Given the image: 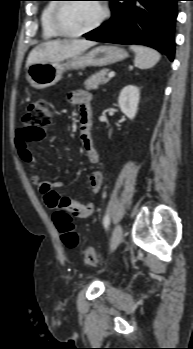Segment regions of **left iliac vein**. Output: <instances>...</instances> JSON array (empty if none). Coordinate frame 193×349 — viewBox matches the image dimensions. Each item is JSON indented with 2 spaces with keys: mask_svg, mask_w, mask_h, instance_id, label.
I'll use <instances>...</instances> for the list:
<instances>
[{
  "mask_svg": "<svg viewBox=\"0 0 193 349\" xmlns=\"http://www.w3.org/2000/svg\"><path fill=\"white\" fill-rule=\"evenodd\" d=\"M123 237V230L120 224H117L113 230L111 241H110V252H112L118 244L121 242Z\"/></svg>",
  "mask_w": 193,
  "mask_h": 349,
  "instance_id": "left-iliac-vein-1",
  "label": "left iliac vein"
}]
</instances>
